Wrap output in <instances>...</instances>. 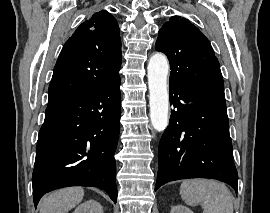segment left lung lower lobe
<instances>
[{
  "label": "left lung lower lobe",
  "instance_id": "left-lung-lower-lobe-1",
  "mask_svg": "<svg viewBox=\"0 0 270 213\" xmlns=\"http://www.w3.org/2000/svg\"><path fill=\"white\" fill-rule=\"evenodd\" d=\"M170 124L160 140L155 190L188 178H212L237 192L225 98L196 88L170 84Z\"/></svg>",
  "mask_w": 270,
  "mask_h": 213
}]
</instances>
